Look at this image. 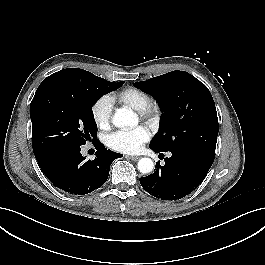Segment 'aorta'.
<instances>
[{
  "label": "aorta",
  "mask_w": 265,
  "mask_h": 265,
  "mask_svg": "<svg viewBox=\"0 0 265 265\" xmlns=\"http://www.w3.org/2000/svg\"><path fill=\"white\" fill-rule=\"evenodd\" d=\"M112 123L117 128H127L136 125L137 117L132 110L127 108L117 109L112 117ZM154 169V163L150 158H141L138 161V170L143 173H151Z\"/></svg>",
  "instance_id": "1"
}]
</instances>
